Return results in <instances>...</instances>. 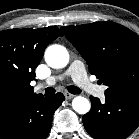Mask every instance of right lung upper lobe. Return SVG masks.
Segmentation results:
<instances>
[{
  "instance_id": "1",
  "label": "right lung upper lobe",
  "mask_w": 139,
  "mask_h": 139,
  "mask_svg": "<svg viewBox=\"0 0 139 139\" xmlns=\"http://www.w3.org/2000/svg\"><path fill=\"white\" fill-rule=\"evenodd\" d=\"M58 36L62 33L54 26L0 32V85L10 94L12 106L42 96L34 93L30 82L45 48Z\"/></svg>"
}]
</instances>
